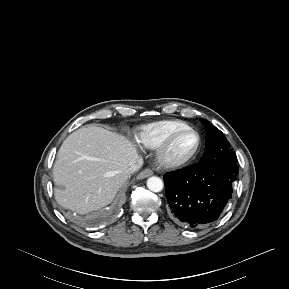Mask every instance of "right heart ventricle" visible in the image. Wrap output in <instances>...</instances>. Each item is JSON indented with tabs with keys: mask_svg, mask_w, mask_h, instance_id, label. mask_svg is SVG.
<instances>
[{
	"mask_svg": "<svg viewBox=\"0 0 289 289\" xmlns=\"http://www.w3.org/2000/svg\"><path fill=\"white\" fill-rule=\"evenodd\" d=\"M189 128L180 120H163L141 127L136 136L138 144L145 148L154 149L164 143L175 132Z\"/></svg>",
	"mask_w": 289,
	"mask_h": 289,
	"instance_id": "right-heart-ventricle-1",
	"label": "right heart ventricle"
}]
</instances>
